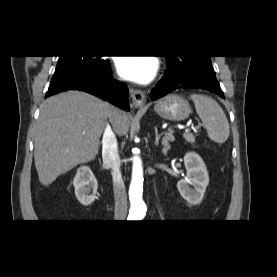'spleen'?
<instances>
[{
  "label": "spleen",
  "instance_id": "1",
  "mask_svg": "<svg viewBox=\"0 0 277 277\" xmlns=\"http://www.w3.org/2000/svg\"><path fill=\"white\" fill-rule=\"evenodd\" d=\"M196 112L207 130L208 137L219 144L224 143L230 134L229 123L220 105L212 98L192 94Z\"/></svg>",
  "mask_w": 277,
  "mask_h": 277
}]
</instances>
